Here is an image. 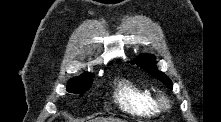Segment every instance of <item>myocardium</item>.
I'll return each instance as SVG.
<instances>
[{
  "mask_svg": "<svg viewBox=\"0 0 221 122\" xmlns=\"http://www.w3.org/2000/svg\"><path fill=\"white\" fill-rule=\"evenodd\" d=\"M155 102L159 109L161 110H169L171 108V99L164 92H158L155 96Z\"/></svg>",
  "mask_w": 221,
  "mask_h": 122,
  "instance_id": "myocardium-1",
  "label": "myocardium"
}]
</instances>
